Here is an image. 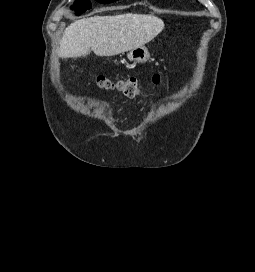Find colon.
I'll use <instances>...</instances> for the list:
<instances>
[{"mask_svg": "<svg viewBox=\"0 0 255 272\" xmlns=\"http://www.w3.org/2000/svg\"><path fill=\"white\" fill-rule=\"evenodd\" d=\"M97 85L106 90H116L128 98H136L142 95L143 89L136 78L119 77L110 78L104 75H99L95 78ZM154 85H160L162 78L160 74H154L152 77Z\"/></svg>", "mask_w": 255, "mask_h": 272, "instance_id": "1", "label": "colon"}]
</instances>
